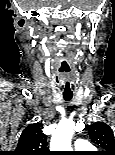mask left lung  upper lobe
I'll return each mask as SVG.
<instances>
[{
	"mask_svg": "<svg viewBox=\"0 0 115 155\" xmlns=\"http://www.w3.org/2000/svg\"><path fill=\"white\" fill-rule=\"evenodd\" d=\"M91 142L102 148L98 155H115V139L113 131L104 122L87 125Z\"/></svg>",
	"mask_w": 115,
	"mask_h": 155,
	"instance_id": "1",
	"label": "left lung upper lobe"
}]
</instances>
